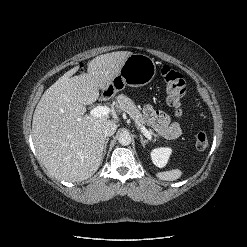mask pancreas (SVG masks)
<instances>
[{
	"label": "pancreas",
	"instance_id": "pancreas-1",
	"mask_svg": "<svg viewBox=\"0 0 247 247\" xmlns=\"http://www.w3.org/2000/svg\"><path fill=\"white\" fill-rule=\"evenodd\" d=\"M117 103L122 110L130 115V117L135 121L138 127H141L145 124V120L140 110L130 98L123 94L119 95L117 97ZM149 132L154 136L155 139L159 138V135L154 133L151 129H149Z\"/></svg>",
	"mask_w": 247,
	"mask_h": 247
}]
</instances>
